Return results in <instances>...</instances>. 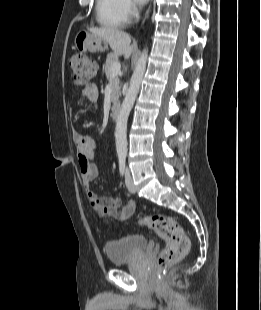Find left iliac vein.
<instances>
[{"label":"left iliac vein","mask_w":261,"mask_h":310,"mask_svg":"<svg viewBox=\"0 0 261 310\" xmlns=\"http://www.w3.org/2000/svg\"><path fill=\"white\" fill-rule=\"evenodd\" d=\"M125 184L127 189L131 192V193H135L136 188L134 186L132 177H131V173L129 168H126V173H125Z\"/></svg>","instance_id":"left-iliac-vein-1"}]
</instances>
